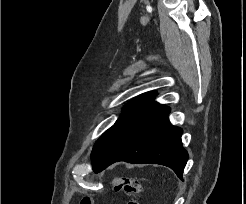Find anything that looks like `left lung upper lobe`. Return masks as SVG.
Wrapping results in <instances>:
<instances>
[{
    "instance_id": "obj_1",
    "label": "left lung upper lobe",
    "mask_w": 246,
    "mask_h": 204,
    "mask_svg": "<svg viewBox=\"0 0 246 204\" xmlns=\"http://www.w3.org/2000/svg\"><path fill=\"white\" fill-rule=\"evenodd\" d=\"M154 94H155V92H147V93H144V94L137 96L136 98H134L133 100H131L129 103H127L125 105V107H124L125 111H128L131 108H134L135 106H137L138 104H140L141 102L148 99L149 97H151Z\"/></svg>"
}]
</instances>
